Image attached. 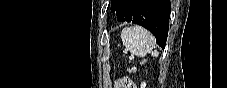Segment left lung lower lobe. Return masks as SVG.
<instances>
[{"mask_svg": "<svg viewBox=\"0 0 227 88\" xmlns=\"http://www.w3.org/2000/svg\"><path fill=\"white\" fill-rule=\"evenodd\" d=\"M170 0H119L118 21H129L148 29L164 48L168 35Z\"/></svg>", "mask_w": 227, "mask_h": 88, "instance_id": "obj_1", "label": "left lung lower lobe"}]
</instances>
